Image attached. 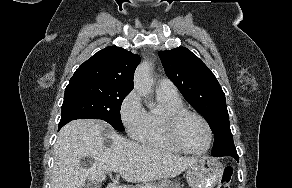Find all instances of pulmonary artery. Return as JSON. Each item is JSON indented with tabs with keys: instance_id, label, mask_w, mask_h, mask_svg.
<instances>
[{
	"instance_id": "e3ab8cb5",
	"label": "pulmonary artery",
	"mask_w": 292,
	"mask_h": 188,
	"mask_svg": "<svg viewBox=\"0 0 292 188\" xmlns=\"http://www.w3.org/2000/svg\"><path fill=\"white\" fill-rule=\"evenodd\" d=\"M156 90L159 93L168 94L171 96H177L178 90L175 84L169 79H161L158 81Z\"/></svg>"
}]
</instances>
